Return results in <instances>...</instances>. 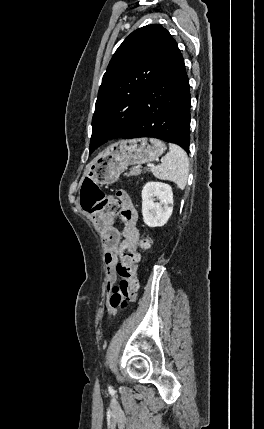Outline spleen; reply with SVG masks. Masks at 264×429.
Instances as JSON below:
<instances>
[{"instance_id":"1","label":"spleen","mask_w":264,"mask_h":429,"mask_svg":"<svg viewBox=\"0 0 264 429\" xmlns=\"http://www.w3.org/2000/svg\"><path fill=\"white\" fill-rule=\"evenodd\" d=\"M152 173L158 179L174 182L179 189L183 190L189 173L186 152L180 146L169 143V152L162 157L160 165L152 168Z\"/></svg>"}]
</instances>
